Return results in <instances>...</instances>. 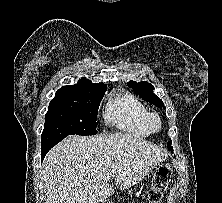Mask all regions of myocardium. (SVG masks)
Returning <instances> with one entry per match:
<instances>
[{"label":"myocardium","mask_w":222,"mask_h":203,"mask_svg":"<svg viewBox=\"0 0 222 203\" xmlns=\"http://www.w3.org/2000/svg\"><path fill=\"white\" fill-rule=\"evenodd\" d=\"M148 124L152 131H159L162 127L161 118L156 113H149Z\"/></svg>","instance_id":"1"}]
</instances>
